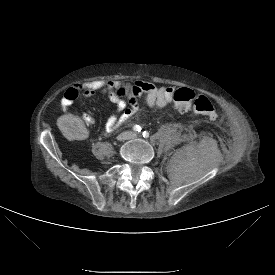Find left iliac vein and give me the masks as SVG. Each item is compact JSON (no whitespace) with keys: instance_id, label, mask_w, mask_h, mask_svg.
Masks as SVG:
<instances>
[{"instance_id":"left-iliac-vein-1","label":"left iliac vein","mask_w":275,"mask_h":275,"mask_svg":"<svg viewBox=\"0 0 275 275\" xmlns=\"http://www.w3.org/2000/svg\"><path fill=\"white\" fill-rule=\"evenodd\" d=\"M131 138H137V134L135 133L131 134Z\"/></svg>"}]
</instances>
